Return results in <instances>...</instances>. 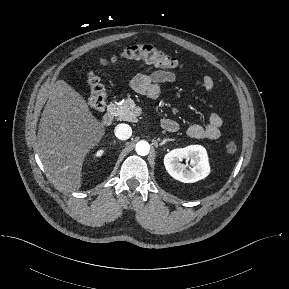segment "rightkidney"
<instances>
[{"label":"right kidney","instance_id":"ca27d5eb","mask_svg":"<svg viewBox=\"0 0 289 289\" xmlns=\"http://www.w3.org/2000/svg\"><path fill=\"white\" fill-rule=\"evenodd\" d=\"M103 150H99L97 153H96V156L98 157V156H101L102 154H103Z\"/></svg>","mask_w":289,"mask_h":289}]
</instances>
